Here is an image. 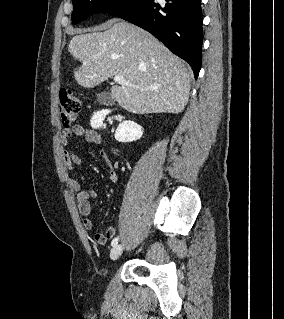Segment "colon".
I'll return each instance as SVG.
<instances>
[{"label": "colon", "instance_id": "5ec220e1", "mask_svg": "<svg viewBox=\"0 0 284 319\" xmlns=\"http://www.w3.org/2000/svg\"><path fill=\"white\" fill-rule=\"evenodd\" d=\"M81 109L80 99L70 90H63L59 99V114L64 129L70 128Z\"/></svg>", "mask_w": 284, "mask_h": 319}]
</instances>
